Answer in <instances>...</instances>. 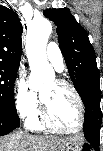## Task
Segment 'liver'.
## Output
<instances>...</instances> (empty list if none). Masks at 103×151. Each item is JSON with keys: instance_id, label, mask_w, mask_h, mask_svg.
<instances>
[{"instance_id": "obj_1", "label": "liver", "mask_w": 103, "mask_h": 151, "mask_svg": "<svg viewBox=\"0 0 103 151\" xmlns=\"http://www.w3.org/2000/svg\"><path fill=\"white\" fill-rule=\"evenodd\" d=\"M70 139L73 138L35 137L17 132L0 139V151H53L58 144Z\"/></svg>"}]
</instances>
